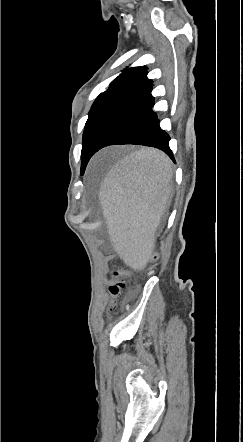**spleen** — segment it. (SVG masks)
I'll use <instances>...</instances> for the list:
<instances>
[{"label": "spleen", "instance_id": "obj_1", "mask_svg": "<svg viewBox=\"0 0 243 442\" xmlns=\"http://www.w3.org/2000/svg\"><path fill=\"white\" fill-rule=\"evenodd\" d=\"M170 178L167 157L155 149H141L116 164L104 179L106 193L101 202L108 217L106 225L119 241L128 242L127 263H144L151 253L157 220L164 214L166 179Z\"/></svg>", "mask_w": 243, "mask_h": 442}]
</instances>
